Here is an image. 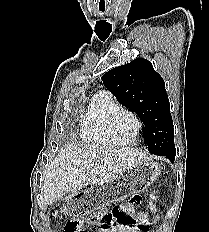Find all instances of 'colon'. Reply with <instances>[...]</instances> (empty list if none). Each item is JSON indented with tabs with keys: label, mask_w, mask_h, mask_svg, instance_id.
Masks as SVG:
<instances>
[{
	"label": "colon",
	"mask_w": 209,
	"mask_h": 232,
	"mask_svg": "<svg viewBox=\"0 0 209 232\" xmlns=\"http://www.w3.org/2000/svg\"><path fill=\"white\" fill-rule=\"evenodd\" d=\"M153 204L157 201V196L154 194L151 197ZM140 202V199H139ZM88 220L91 222L99 223L105 227H126L133 228L138 225L133 213H127V209L124 207H114L111 211L102 213L95 212V214H88ZM146 226L150 225L149 221L145 222ZM65 232H84L83 222L70 220L65 225Z\"/></svg>",
	"instance_id": "5ec220e1"
}]
</instances>
